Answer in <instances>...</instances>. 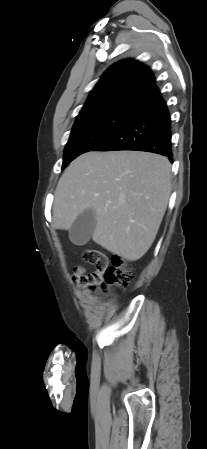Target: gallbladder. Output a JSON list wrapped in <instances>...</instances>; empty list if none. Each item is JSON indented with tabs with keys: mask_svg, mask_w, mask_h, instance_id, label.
<instances>
[{
	"mask_svg": "<svg viewBox=\"0 0 207 449\" xmlns=\"http://www.w3.org/2000/svg\"><path fill=\"white\" fill-rule=\"evenodd\" d=\"M95 226L96 216L93 210H84L77 216L71 228L69 229L70 240L75 245L86 244L90 240Z\"/></svg>",
	"mask_w": 207,
	"mask_h": 449,
	"instance_id": "gallbladder-1",
	"label": "gallbladder"
}]
</instances>
